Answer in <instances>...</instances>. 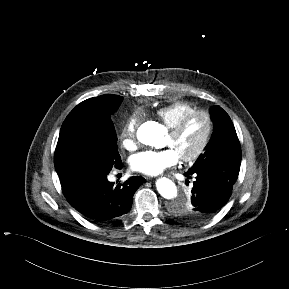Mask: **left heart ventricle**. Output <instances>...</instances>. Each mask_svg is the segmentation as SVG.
<instances>
[{
  "label": "left heart ventricle",
  "instance_id": "left-heart-ventricle-1",
  "mask_svg": "<svg viewBox=\"0 0 289 289\" xmlns=\"http://www.w3.org/2000/svg\"><path fill=\"white\" fill-rule=\"evenodd\" d=\"M206 132V122L202 116L188 121L178 136H167L166 145L172 147L179 157L193 153L200 145Z\"/></svg>",
  "mask_w": 289,
  "mask_h": 289
}]
</instances>
